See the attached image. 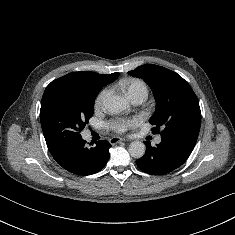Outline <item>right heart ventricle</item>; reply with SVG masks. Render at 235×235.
Wrapping results in <instances>:
<instances>
[{
  "label": "right heart ventricle",
  "instance_id": "1",
  "mask_svg": "<svg viewBox=\"0 0 235 235\" xmlns=\"http://www.w3.org/2000/svg\"><path fill=\"white\" fill-rule=\"evenodd\" d=\"M120 85L129 97L140 92L147 94L146 84L140 79L137 78L127 79L122 81Z\"/></svg>",
  "mask_w": 235,
  "mask_h": 235
}]
</instances>
